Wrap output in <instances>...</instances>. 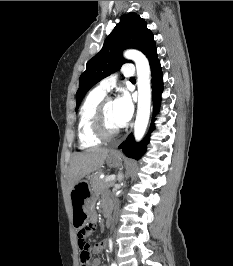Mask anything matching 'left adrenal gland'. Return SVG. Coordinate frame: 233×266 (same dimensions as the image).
Returning <instances> with one entry per match:
<instances>
[{
  "mask_svg": "<svg viewBox=\"0 0 233 266\" xmlns=\"http://www.w3.org/2000/svg\"><path fill=\"white\" fill-rule=\"evenodd\" d=\"M119 179H120V181H122V179H123V175L121 173L119 174Z\"/></svg>",
  "mask_w": 233,
  "mask_h": 266,
  "instance_id": "1",
  "label": "left adrenal gland"
}]
</instances>
